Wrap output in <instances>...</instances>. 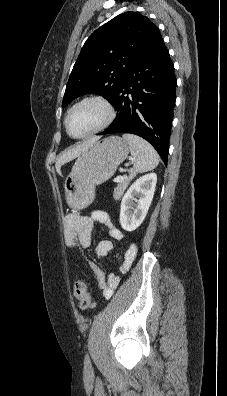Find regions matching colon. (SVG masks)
<instances>
[{
  "label": "colon",
  "mask_w": 227,
  "mask_h": 396,
  "mask_svg": "<svg viewBox=\"0 0 227 396\" xmlns=\"http://www.w3.org/2000/svg\"><path fill=\"white\" fill-rule=\"evenodd\" d=\"M74 295L79 300L81 309L87 310L94 307V302L87 293L86 285L82 280L75 281Z\"/></svg>",
  "instance_id": "1"
}]
</instances>
